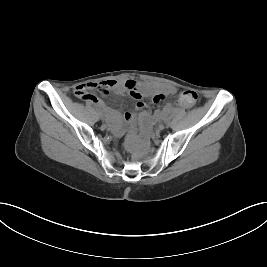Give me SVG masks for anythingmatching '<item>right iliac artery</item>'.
<instances>
[{
  "mask_svg": "<svg viewBox=\"0 0 267 267\" xmlns=\"http://www.w3.org/2000/svg\"><path fill=\"white\" fill-rule=\"evenodd\" d=\"M95 110H96V112H97L98 114L101 113L100 108L96 107Z\"/></svg>",
  "mask_w": 267,
  "mask_h": 267,
  "instance_id": "82829eb1",
  "label": "right iliac artery"
}]
</instances>
